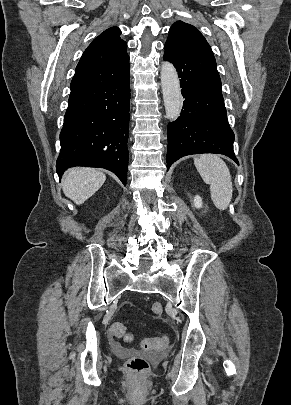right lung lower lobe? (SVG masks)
<instances>
[{
  "mask_svg": "<svg viewBox=\"0 0 291 405\" xmlns=\"http://www.w3.org/2000/svg\"><path fill=\"white\" fill-rule=\"evenodd\" d=\"M130 72L69 99L56 163L59 177L69 167L90 166L115 173L126 184Z\"/></svg>",
  "mask_w": 291,
  "mask_h": 405,
  "instance_id": "obj_1",
  "label": "right lung lower lobe"
}]
</instances>
